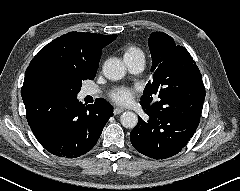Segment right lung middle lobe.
Here are the masks:
<instances>
[{
    "instance_id": "obj_1",
    "label": "right lung middle lobe",
    "mask_w": 240,
    "mask_h": 191,
    "mask_svg": "<svg viewBox=\"0 0 240 191\" xmlns=\"http://www.w3.org/2000/svg\"><path fill=\"white\" fill-rule=\"evenodd\" d=\"M93 78L83 76L49 75L42 81L39 94L67 99L75 98L81 89L82 81Z\"/></svg>"
}]
</instances>
